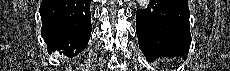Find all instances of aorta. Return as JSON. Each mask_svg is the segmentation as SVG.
<instances>
[{
	"instance_id": "aorta-1",
	"label": "aorta",
	"mask_w": 230,
	"mask_h": 71,
	"mask_svg": "<svg viewBox=\"0 0 230 71\" xmlns=\"http://www.w3.org/2000/svg\"><path fill=\"white\" fill-rule=\"evenodd\" d=\"M139 6L146 9L149 6V0H137Z\"/></svg>"
}]
</instances>
